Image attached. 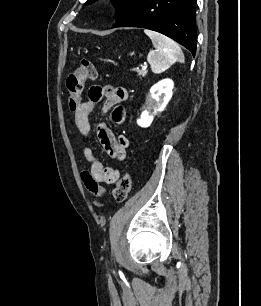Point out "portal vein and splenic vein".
<instances>
[{
	"mask_svg": "<svg viewBox=\"0 0 261 306\" xmlns=\"http://www.w3.org/2000/svg\"><path fill=\"white\" fill-rule=\"evenodd\" d=\"M147 67V65L142 66V71H146Z\"/></svg>",
	"mask_w": 261,
	"mask_h": 306,
	"instance_id": "obj_1",
	"label": "portal vein and splenic vein"
}]
</instances>
